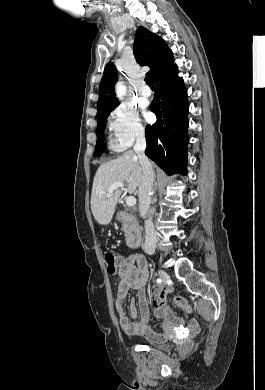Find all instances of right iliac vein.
<instances>
[{
    "label": "right iliac vein",
    "instance_id": "63e3f726",
    "mask_svg": "<svg viewBox=\"0 0 265 390\" xmlns=\"http://www.w3.org/2000/svg\"><path fill=\"white\" fill-rule=\"evenodd\" d=\"M158 275L159 277L163 280V281H167L169 279V275L163 271V270H159L158 271Z\"/></svg>",
    "mask_w": 265,
    "mask_h": 390
}]
</instances>
